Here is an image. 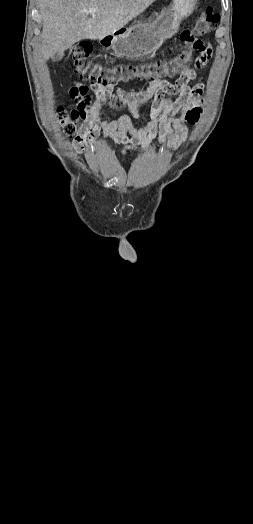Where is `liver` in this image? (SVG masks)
I'll list each match as a JSON object with an SVG mask.
<instances>
[{"instance_id":"6515ba94","label":"liver","mask_w":253,"mask_h":524,"mask_svg":"<svg viewBox=\"0 0 253 524\" xmlns=\"http://www.w3.org/2000/svg\"><path fill=\"white\" fill-rule=\"evenodd\" d=\"M155 0H38L43 20L41 54L47 61L82 39H100L123 28ZM91 10V11H90Z\"/></svg>"}]
</instances>
